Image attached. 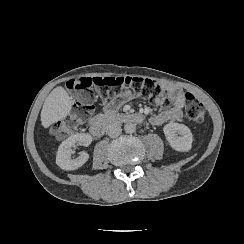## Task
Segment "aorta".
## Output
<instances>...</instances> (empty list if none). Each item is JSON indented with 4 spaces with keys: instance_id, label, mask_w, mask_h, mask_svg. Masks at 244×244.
<instances>
[{
    "instance_id": "1",
    "label": "aorta",
    "mask_w": 244,
    "mask_h": 244,
    "mask_svg": "<svg viewBox=\"0 0 244 244\" xmlns=\"http://www.w3.org/2000/svg\"><path fill=\"white\" fill-rule=\"evenodd\" d=\"M124 130L128 134L134 133L136 131V125L134 123H126Z\"/></svg>"
}]
</instances>
